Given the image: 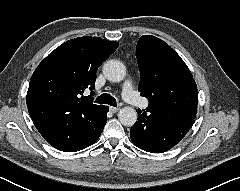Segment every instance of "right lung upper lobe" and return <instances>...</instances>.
<instances>
[{
    "label": "right lung upper lobe",
    "instance_id": "cb5924a9",
    "mask_svg": "<svg viewBox=\"0 0 240 191\" xmlns=\"http://www.w3.org/2000/svg\"><path fill=\"white\" fill-rule=\"evenodd\" d=\"M118 46L99 37H78L57 47L39 64L26 97L38 131L59 122L79 123L102 109L92 97L96 71ZM86 89L92 92L85 97Z\"/></svg>",
    "mask_w": 240,
    "mask_h": 191
}]
</instances>
